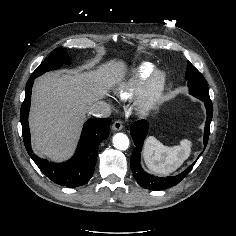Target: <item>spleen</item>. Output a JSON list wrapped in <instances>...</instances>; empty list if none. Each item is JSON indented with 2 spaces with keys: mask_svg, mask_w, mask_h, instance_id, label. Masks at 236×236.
Returning <instances> with one entry per match:
<instances>
[{
  "mask_svg": "<svg viewBox=\"0 0 236 236\" xmlns=\"http://www.w3.org/2000/svg\"><path fill=\"white\" fill-rule=\"evenodd\" d=\"M192 143L184 139L180 145L165 146L155 137H147L143 157L147 167L158 174H169L178 169L191 153Z\"/></svg>",
  "mask_w": 236,
  "mask_h": 236,
  "instance_id": "obj_1",
  "label": "spleen"
}]
</instances>
